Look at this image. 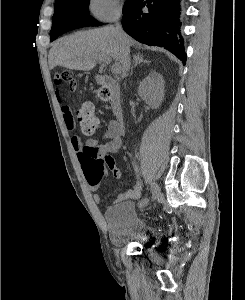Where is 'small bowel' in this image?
<instances>
[{"label": "small bowel", "mask_w": 245, "mask_h": 300, "mask_svg": "<svg viewBox=\"0 0 245 300\" xmlns=\"http://www.w3.org/2000/svg\"><path fill=\"white\" fill-rule=\"evenodd\" d=\"M59 86H57L58 88ZM57 100L61 105V113L68 130L72 131L75 128V122L70 108L64 104L62 97L58 94ZM124 135V126L117 120H111L105 130L102 139L104 142L98 143L94 140H89L83 143L78 136H72L71 144L75 152L77 153L79 162L82 166V156L87 150L94 149L98 158L102 159L109 169L112 171L113 176L116 179L121 178V171L116 167L113 154L116 153L122 145V137ZM142 191V185L137 182L132 189L126 191L119 196V200L137 199L140 197ZM93 199L96 203L101 201L100 194H94Z\"/></svg>", "instance_id": "small-bowel-1"}]
</instances>
